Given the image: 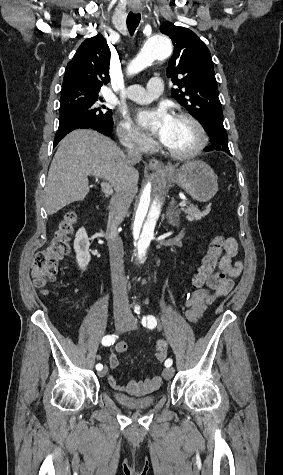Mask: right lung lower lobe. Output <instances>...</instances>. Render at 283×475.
I'll return each instance as SVG.
<instances>
[{"instance_id": "98d812e1", "label": "right lung lower lobe", "mask_w": 283, "mask_h": 475, "mask_svg": "<svg viewBox=\"0 0 283 475\" xmlns=\"http://www.w3.org/2000/svg\"><path fill=\"white\" fill-rule=\"evenodd\" d=\"M93 129L96 130L104 135L111 134L113 130V125H107L104 123H97L94 122L84 116H69L59 120V128L57 130L55 140H54V147L58 144V142L64 138L68 133L75 129Z\"/></svg>"}]
</instances>
